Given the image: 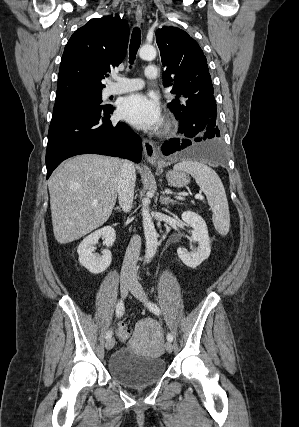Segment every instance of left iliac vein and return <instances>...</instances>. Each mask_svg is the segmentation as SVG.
<instances>
[{
	"label": "left iliac vein",
	"instance_id": "1",
	"mask_svg": "<svg viewBox=\"0 0 299 427\" xmlns=\"http://www.w3.org/2000/svg\"><path fill=\"white\" fill-rule=\"evenodd\" d=\"M130 292L140 301L146 302L147 295L143 290L141 284L137 280H132L130 285ZM165 349L167 352L171 353L173 351V344L170 341L165 343Z\"/></svg>",
	"mask_w": 299,
	"mask_h": 427
}]
</instances>
